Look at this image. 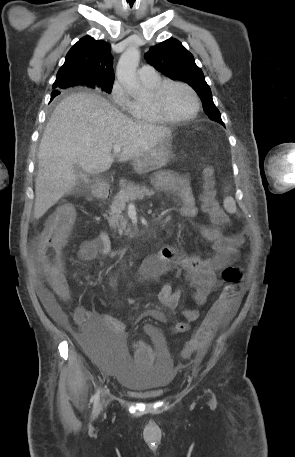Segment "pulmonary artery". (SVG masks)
<instances>
[{
    "label": "pulmonary artery",
    "mask_w": 295,
    "mask_h": 457,
    "mask_svg": "<svg viewBox=\"0 0 295 457\" xmlns=\"http://www.w3.org/2000/svg\"><path fill=\"white\" fill-rule=\"evenodd\" d=\"M138 75L141 80H152L158 77L156 70L150 65H143L138 70Z\"/></svg>",
    "instance_id": "e3ab8cb5"
}]
</instances>
